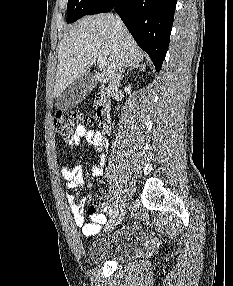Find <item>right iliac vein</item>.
<instances>
[{
	"label": "right iliac vein",
	"mask_w": 233,
	"mask_h": 286,
	"mask_svg": "<svg viewBox=\"0 0 233 286\" xmlns=\"http://www.w3.org/2000/svg\"><path fill=\"white\" fill-rule=\"evenodd\" d=\"M123 217H124V209L123 207H120L119 209H117L114 216L108 222V228L114 229L115 226L121 223Z\"/></svg>",
	"instance_id": "63e3f726"
}]
</instances>
